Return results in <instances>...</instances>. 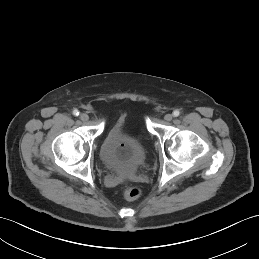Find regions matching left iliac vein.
<instances>
[{"label":"left iliac vein","instance_id":"1","mask_svg":"<svg viewBox=\"0 0 259 259\" xmlns=\"http://www.w3.org/2000/svg\"><path fill=\"white\" fill-rule=\"evenodd\" d=\"M172 118H173V115L170 114V113H168V114H166V115L164 116V119H165L166 121H168V122L171 121Z\"/></svg>","mask_w":259,"mask_h":259}]
</instances>
